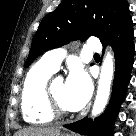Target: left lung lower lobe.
Segmentation results:
<instances>
[{
	"mask_svg": "<svg viewBox=\"0 0 136 136\" xmlns=\"http://www.w3.org/2000/svg\"><path fill=\"white\" fill-rule=\"evenodd\" d=\"M132 25V18L129 14L115 32L102 42L103 46L110 44L113 47L116 61L112 96L105 113L93 122L83 118L75 123L64 125L65 128L82 135L113 136V125L119 107L126 96V88L133 67L135 47Z\"/></svg>",
	"mask_w": 136,
	"mask_h": 136,
	"instance_id": "1",
	"label": "left lung lower lobe"
}]
</instances>
